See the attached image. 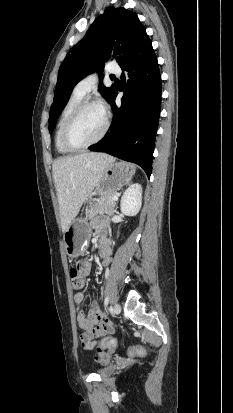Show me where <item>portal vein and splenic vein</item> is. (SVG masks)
<instances>
[{
    "mask_svg": "<svg viewBox=\"0 0 233 413\" xmlns=\"http://www.w3.org/2000/svg\"><path fill=\"white\" fill-rule=\"evenodd\" d=\"M112 199L115 201V200H118V197H117V196H113Z\"/></svg>",
    "mask_w": 233,
    "mask_h": 413,
    "instance_id": "1",
    "label": "portal vein and splenic vein"
}]
</instances>
